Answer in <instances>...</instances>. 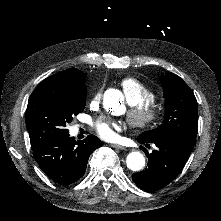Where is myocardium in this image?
<instances>
[{
	"instance_id": "myocardium-1",
	"label": "myocardium",
	"mask_w": 221,
	"mask_h": 221,
	"mask_svg": "<svg viewBox=\"0 0 221 221\" xmlns=\"http://www.w3.org/2000/svg\"><path fill=\"white\" fill-rule=\"evenodd\" d=\"M164 105L159 107H148L141 110L136 108L129 114L128 125L132 131L151 130L162 123L165 118Z\"/></svg>"
}]
</instances>
